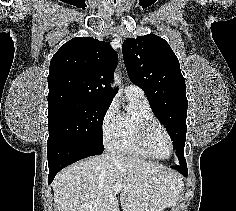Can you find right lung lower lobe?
Returning a JSON list of instances; mask_svg holds the SVG:
<instances>
[{
    "mask_svg": "<svg viewBox=\"0 0 236 211\" xmlns=\"http://www.w3.org/2000/svg\"><path fill=\"white\" fill-rule=\"evenodd\" d=\"M103 153V148L87 143H56L47 145V156L50 184L55 175L64 167L81 160L83 158L99 155Z\"/></svg>",
    "mask_w": 236,
    "mask_h": 211,
    "instance_id": "obj_1",
    "label": "right lung lower lobe"
}]
</instances>
